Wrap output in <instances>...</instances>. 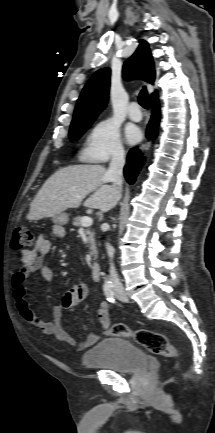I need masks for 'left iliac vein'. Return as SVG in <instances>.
<instances>
[{"label": "left iliac vein", "mask_w": 215, "mask_h": 433, "mask_svg": "<svg viewBox=\"0 0 215 433\" xmlns=\"http://www.w3.org/2000/svg\"><path fill=\"white\" fill-rule=\"evenodd\" d=\"M116 297L122 302H128V297L125 293L122 294L117 293Z\"/></svg>", "instance_id": "4c4485c4"}]
</instances>
